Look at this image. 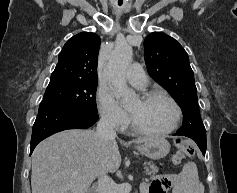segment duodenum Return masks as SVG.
Segmentation results:
<instances>
[{"mask_svg":"<svg viewBox=\"0 0 237 193\" xmlns=\"http://www.w3.org/2000/svg\"><path fill=\"white\" fill-rule=\"evenodd\" d=\"M88 193H96V191L95 190H91Z\"/></svg>","mask_w":237,"mask_h":193,"instance_id":"duodenum-1","label":"duodenum"}]
</instances>
